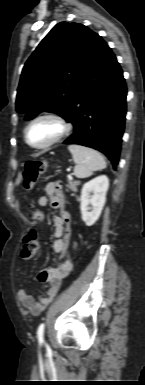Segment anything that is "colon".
I'll list each match as a JSON object with an SVG mask.
<instances>
[{
	"mask_svg": "<svg viewBox=\"0 0 145 385\" xmlns=\"http://www.w3.org/2000/svg\"><path fill=\"white\" fill-rule=\"evenodd\" d=\"M43 171V163L39 161L28 162L23 170V187L30 190L32 185L38 180ZM33 219L37 224L43 220V214L40 211H35ZM38 249V233L36 228L30 229L23 240V248L21 257L25 260L31 259Z\"/></svg>",
	"mask_w": 145,
	"mask_h": 385,
	"instance_id": "5ec220e1",
	"label": "colon"
}]
</instances>
